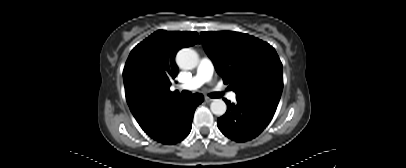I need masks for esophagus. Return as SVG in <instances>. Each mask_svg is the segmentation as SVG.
<instances>
[{
    "label": "esophagus",
    "mask_w": 406,
    "mask_h": 168,
    "mask_svg": "<svg viewBox=\"0 0 406 168\" xmlns=\"http://www.w3.org/2000/svg\"><path fill=\"white\" fill-rule=\"evenodd\" d=\"M205 101H206V102H211V101H213V99L210 98V97H208V96H206V97H205Z\"/></svg>",
    "instance_id": "34e87169"
}]
</instances>
